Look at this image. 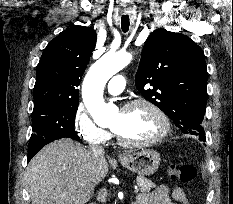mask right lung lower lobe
<instances>
[{
	"instance_id": "1",
	"label": "right lung lower lobe",
	"mask_w": 233,
	"mask_h": 204,
	"mask_svg": "<svg viewBox=\"0 0 233 204\" xmlns=\"http://www.w3.org/2000/svg\"><path fill=\"white\" fill-rule=\"evenodd\" d=\"M42 148V147H41ZM40 148V149H41ZM40 149H28V162L31 160V158L40 150Z\"/></svg>"
}]
</instances>
